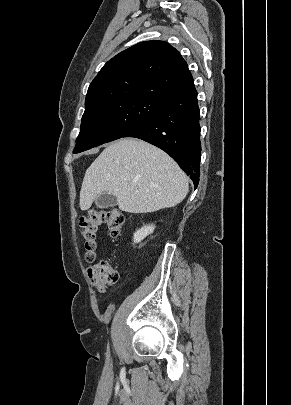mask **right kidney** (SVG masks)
<instances>
[{
    "label": "right kidney",
    "mask_w": 291,
    "mask_h": 405,
    "mask_svg": "<svg viewBox=\"0 0 291 405\" xmlns=\"http://www.w3.org/2000/svg\"><path fill=\"white\" fill-rule=\"evenodd\" d=\"M154 229H155V225L151 224V225H146V226L142 227L141 229L137 230L133 236L134 243L141 242L146 236L153 233Z\"/></svg>",
    "instance_id": "1"
}]
</instances>
